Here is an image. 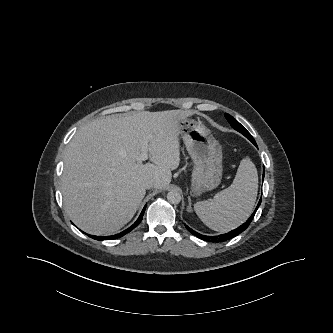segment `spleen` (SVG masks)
Masks as SVG:
<instances>
[{
  "label": "spleen",
  "instance_id": "spleen-1",
  "mask_svg": "<svg viewBox=\"0 0 333 333\" xmlns=\"http://www.w3.org/2000/svg\"><path fill=\"white\" fill-rule=\"evenodd\" d=\"M257 192V169L250 158H244L231 186L217 193L213 200L197 202L194 209L206 226L227 232L247 220L253 211Z\"/></svg>",
  "mask_w": 333,
  "mask_h": 333
}]
</instances>
